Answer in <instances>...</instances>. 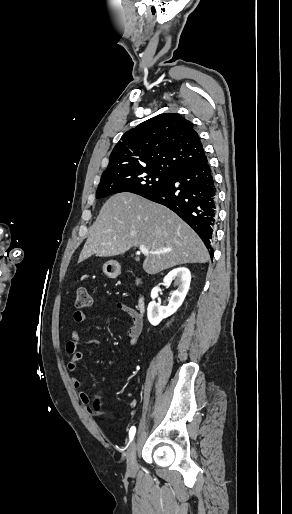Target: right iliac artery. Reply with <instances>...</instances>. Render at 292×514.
Returning a JSON list of instances; mask_svg holds the SVG:
<instances>
[{
    "mask_svg": "<svg viewBox=\"0 0 292 514\" xmlns=\"http://www.w3.org/2000/svg\"><path fill=\"white\" fill-rule=\"evenodd\" d=\"M136 432V427L132 426L129 430V440L132 441Z\"/></svg>",
    "mask_w": 292,
    "mask_h": 514,
    "instance_id": "82829eb1",
    "label": "right iliac artery"
}]
</instances>
